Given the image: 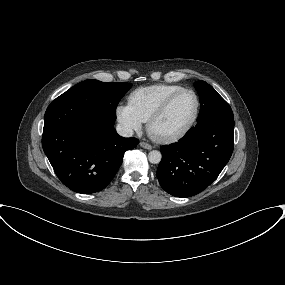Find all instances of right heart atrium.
<instances>
[{
	"instance_id": "obj_1",
	"label": "right heart atrium",
	"mask_w": 285,
	"mask_h": 285,
	"mask_svg": "<svg viewBox=\"0 0 285 285\" xmlns=\"http://www.w3.org/2000/svg\"><path fill=\"white\" fill-rule=\"evenodd\" d=\"M115 113L117 121L125 132L133 133L142 128L143 121L129 104H119L116 107Z\"/></svg>"
}]
</instances>
